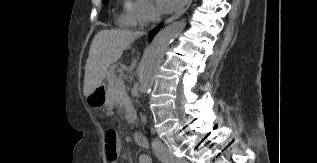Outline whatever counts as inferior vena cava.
<instances>
[{"label": "inferior vena cava", "mask_w": 317, "mask_h": 163, "mask_svg": "<svg viewBox=\"0 0 317 163\" xmlns=\"http://www.w3.org/2000/svg\"><path fill=\"white\" fill-rule=\"evenodd\" d=\"M152 19L154 22H158L160 20V14L153 13ZM151 147L158 158L162 159L169 155L168 149L159 140L154 139L151 143Z\"/></svg>", "instance_id": "1"}]
</instances>
